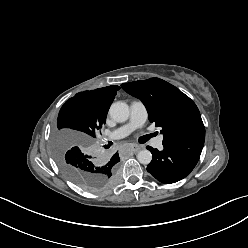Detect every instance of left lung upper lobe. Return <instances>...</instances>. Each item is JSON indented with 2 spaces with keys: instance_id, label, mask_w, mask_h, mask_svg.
Here are the masks:
<instances>
[{
  "instance_id": "1",
  "label": "left lung upper lobe",
  "mask_w": 248,
  "mask_h": 248,
  "mask_svg": "<svg viewBox=\"0 0 248 248\" xmlns=\"http://www.w3.org/2000/svg\"><path fill=\"white\" fill-rule=\"evenodd\" d=\"M121 87L143 102L149 120L162 128L163 144L189 135L205 134L195 103L170 83L159 78H150L124 83Z\"/></svg>"
}]
</instances>
